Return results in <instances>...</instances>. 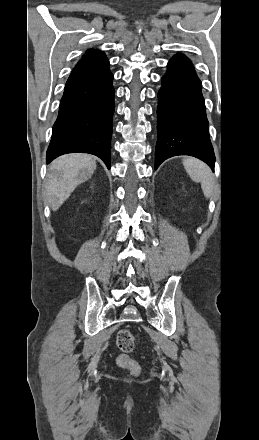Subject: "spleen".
I'll return each mask as SVG.
<instances>
[{"instance_id":"obj_1","label":"spleen","mask_w":259,"mask_h":440,"mask_svg":"<svg viewBox=\"0 0 259 440\" xmlns=\"http://www.w3.org/2000/svg\"><path fill=\"white\" fill-rule=\"evenodd\" d=\"M183 165L190 178L194 182L201 183L204 196L211 197L214 190V179L207 165L195 158L184 159Z\"/></svg>"}]
</instances>
